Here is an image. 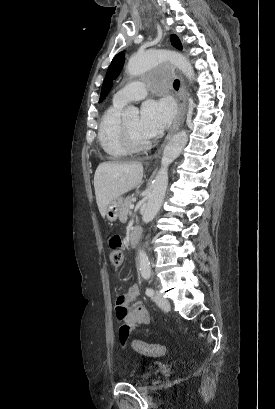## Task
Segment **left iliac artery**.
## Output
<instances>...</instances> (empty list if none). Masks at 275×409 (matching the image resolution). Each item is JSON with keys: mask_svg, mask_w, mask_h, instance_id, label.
Listing matches in <instances>:
<instances>
[{"mask_svg": "<svg viewBox=\"0 0 275 409\" xmlns=\"http://www.w3.org/2000/svg\"><path fill=\"white\" fill-rule=\"evenodd\" d=\"M149 282H151V281H149ZM146 295L149 296V297L153 296L154 295V290L152 288L148 287L146 289Z\"/></svg>", "mask_w": 275, "mask_h": 409, "instance_id": "44dca946", "label": "left iliac artery"}]
</instances>
